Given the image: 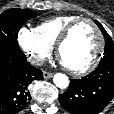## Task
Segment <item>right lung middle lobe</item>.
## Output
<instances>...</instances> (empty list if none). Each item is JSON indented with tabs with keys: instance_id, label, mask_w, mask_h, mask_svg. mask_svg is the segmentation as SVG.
<instances>
[{
	"instance_id": "1",
	"label": "right lung middle lobe",
	"mask_w": 114,
	"mask_h": 114,
	"mask_svg": "<svg viewBox=\"0 0 114 114\" xmlns=\"http://www.w3.org/2000/svg\"><path fill=\"white\" fill-rule=\"evenodd\" d=\"M35 15L26 9H9L0 14V54L22 56L17 36L22 25Z\"/></svg>"
}]
</instances>
